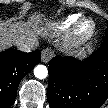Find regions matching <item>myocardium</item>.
<instances>
[{"mask_svg":"<svg viewBox=\"0 0 108 108\" xmlns=\"http://www.w3.org/2000/svg\"><path fill=\"white\" fill-rule=\"evenodd\" d=\"M95 32V23L90 18H82L73 26L70 38L73 44L81 45L89 41Z\"/></svg>","mask_w":108,"mask_h":108,"instance_id":"1","label":"myocardium"}]
</instances>
